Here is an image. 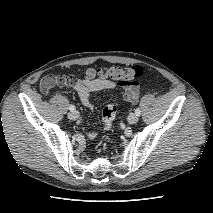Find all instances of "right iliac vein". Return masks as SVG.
<instances>
[{"mask_svg": "<svg viewBox=\"0 0 213 213\" xmlns=\"http://www.w3.org/2000/svg\"><path fill=\"white\" fill-rule=\"evenodd\" d=\"M68 118L70 120H77L79 118V113L77 111H71L68 113Z\"/></svg>", "mask_w": 213, "mask_h": 213, "instance_id": "obj_1", "label": "right iliac vein"}]
</instances>
